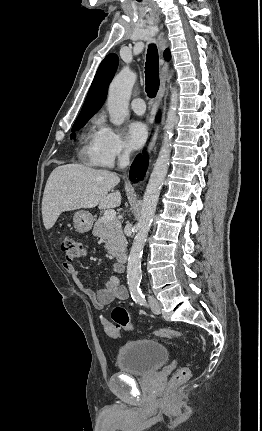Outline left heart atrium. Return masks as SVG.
<instances>
[{"label": "left heart atrium", "instance_id": "left-heart-atrium-1", "mask_svg": "<svg viewBox=\"0 0 262 431\" xmlns=\"http://www.w3.org/2000/svg\"><path fill=\"white\" fill-rule=\"evenodd\" d=\"M147 135V126L141 121H133L128 126L127 142L132 149H139L145 143Z\"/></svg>", "mask_w": 262, "mask_h": 431}]
</instances>
